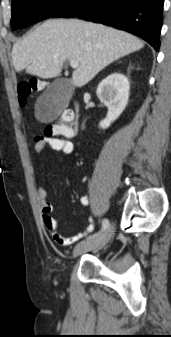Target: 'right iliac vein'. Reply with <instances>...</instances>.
I'll use <instances>...</instances> for the list:
<instances>
[{"instance_id": "right-iliac-vein-1", "label": "right iliac vein", "mask_w": 171, "mask_h": 337, "mask_svg": "<svg viewBox=\"0 0 171 337\" xmlns=\"http://www.w3.org/2000/svg\"><path fill=\"white\" fill-rule=\"evenodd\" d=\"M112 233H113V228L111 227L107 229L102 235H100L99 237L95 239L82 241L78 243L73 250V256L77 257L87 251L100 250L110 240Z\"/></svg>"}]
</instances>
